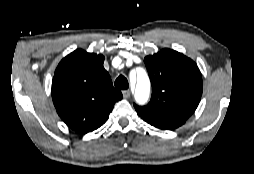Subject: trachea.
Instances as JSON below:
<instances>
[{"instance_id":"trachea-1","label":"trachea","mask_w":254,"mask_h":174,"mask_svg":"<svg viewBox=\"0 0 254 174\" xmlns=\"http://www.w3.org/2000/svg\"><path fill=\"white\" fill-rule=\"evenodd\" d=\"M114 85H115V87L120 88V89H128V87H129L128 80L123 75H120L117 77Z\"/></svg>"}]
</instances>
